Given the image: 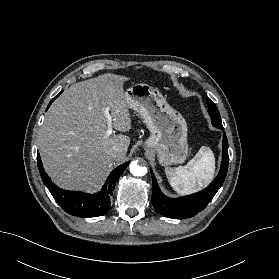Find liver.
I'll return each mask as SVG.
<instances>
[{"instance_id": "obj_1", "label": "liver", "mask_w": 279, "mask_h": 279, "mask_svg": "<svg viewBox=\"0 0 279 279\" xmlns=\"http://www.w3.org/2000/svg\"><path fill=\"white\" fill-rule=\"evenodd\" d=\"M129 78L106 73L75 83L49 108L37 137L46 172L59 187L95 192L105 180L113 161H123L130 138L108 136V109L112 127L131 129V117L123 85ZM120 149L118 157L110 151Z\"/></svg>"}]
</instances>
